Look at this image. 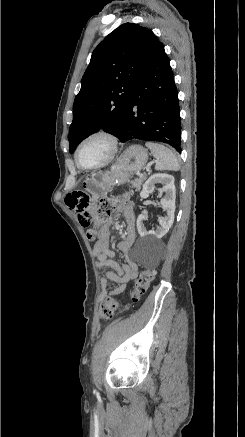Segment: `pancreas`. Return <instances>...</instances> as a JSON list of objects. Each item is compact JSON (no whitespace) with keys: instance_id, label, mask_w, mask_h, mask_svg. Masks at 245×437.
<instances>
[{"instance_id":"1","label":"pancreas","mask_w":245,"mask_h":437,"mask_svg":"<svg viewBox=\"0 0 245 437\" xmlns=\"http://www.w3.org/2000/svg\"><path fill=\"white\" fill-rule=\"evenodd\" d=\"M146 180V176H142L139 178H136L134 181L131 182V187L135 188L136 191H139L141 189L142 183Z\"/></svg>"}]
</instances>
